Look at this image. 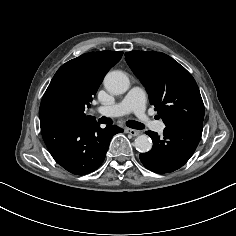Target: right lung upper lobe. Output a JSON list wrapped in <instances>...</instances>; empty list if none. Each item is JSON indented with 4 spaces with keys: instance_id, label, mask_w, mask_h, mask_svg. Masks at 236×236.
<instances>
[{
    "instance_id": "1",
    "label": "right lung upper lobe",
    "mask_w": 236,
    "mask_h": 236,
    "mask_svg": "<svg viewBox=\"0 0 236 236\" xmlns=\"http://www.w3.org/2000/svg\"><path fill=\"white\" fill-rule=\"evenodd\" d=\"M123 52L98 51L85 53L63 64L52 78L41 101L40 120L58 115L72 122L95 120L86 116L104 75L119 62Z\"/></svg>"
}]
</instances>
